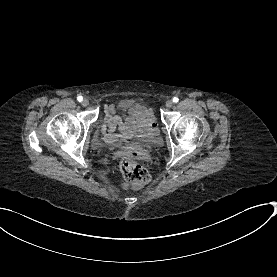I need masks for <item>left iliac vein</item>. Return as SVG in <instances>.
<instances>
[{
    "mask_svg": "<svg viewBox=\"0 0 277 277\" xmlns=\"http://www.w3.org/2000/svg\"><path fill=\"white\" fill-rule=\"evenodd\" d=\"M173 104H174L173 101L170 99L166 101V107H168V108H171L173 106Z\"/></svg>",
    "mask_w": 277,
    "mask_h": 277,
    "instance_id": "left-iliac-vein-1",
    "label": "left iliac vein"
}]
</instances>
